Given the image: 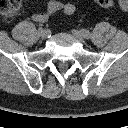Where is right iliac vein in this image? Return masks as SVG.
<instances>
[{"instance_id":"63e3f726","label":"right iliac vein","mask_w":128,"mask_h":128,"mask_svg":"<svg viewBox=\"0 0 128 128\" xmlns=\"http://www.w3.org/2000/svg\"><path fill=\"white\" fill-rule=\"evenodd\" d=\"M38 33L42 39H47L50 35V31L46 29H40Z\"/></svg>"}]
</instances>
